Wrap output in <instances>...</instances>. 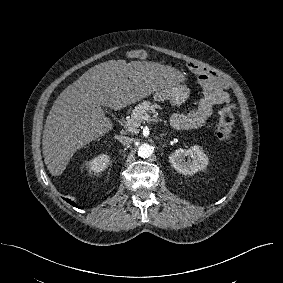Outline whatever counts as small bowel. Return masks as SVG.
Returning <instances> with one entry per match:
<instances>
[{
  "label": "small bowel",
  "instance_id": "small-bowel-1",
  "mask_svg": "<svg viewBox=\"0 0 283 283\" xmlns=\"http://www.w3.org/2000/svg\"><path fill=\"white\" fill-rule=\"evenodd\" d=\"M189 69L198 77L203 97L199 101L197 109L190 113L171 115V123L177 129H190L204 125L210 118L215 105L230 102V97L224 90L223 81L216 73L195 63H190Z\"/></svg>",
  "mask_w": 283,
  "mask_h": 283
}]
</instances>
